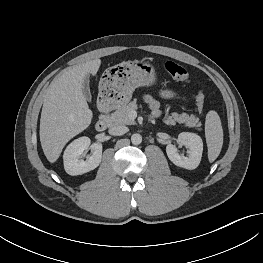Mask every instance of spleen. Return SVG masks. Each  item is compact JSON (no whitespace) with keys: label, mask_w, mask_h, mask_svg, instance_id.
<instances>
[{"label":"spleen","mask_w":263,"mask_h":263,"mask_svg":"<svg viewBox=\"0 0 263 263\" xmlns=\"http://www.w3.org/2000/svg\"><path fill=\"white\" fill-rule=\"evenodd\" d=\"M205 137L208 147V159L210 162L216 160L223 145V129L218 113L211 110L206 115Z\"/></svg>","instance_id":"1"}]
</instances>
